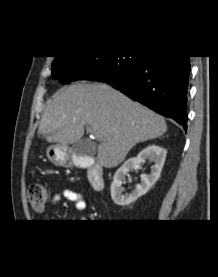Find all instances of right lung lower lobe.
Masks as SVG:
<instances>
[{"instance_id":"obj_1","label":"right lung lower lobe","mask_w":218,"mask_h":277,"mask_svg":"<svg viewBox=\"0 0 218 277\" xmlns=\"http://www.w3.org/2000/svg\"><path fill=\"white\" fill-rule=\"evenodd\" d=\"M190 74L189 56H144L140 64L123 80L106 82L150 109L170 117L187 128V90Z\"/></svg>"}]
</instances>
